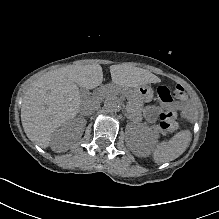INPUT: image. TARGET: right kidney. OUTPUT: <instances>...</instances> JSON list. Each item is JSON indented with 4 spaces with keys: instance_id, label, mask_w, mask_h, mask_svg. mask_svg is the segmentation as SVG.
I'll return each instance as SVG.
<instances>
[{
    "instance_id": "obj_1",
    "label": "right kidney",
    "mask_w": 219,
    "mask_h": 219,
    "mask_svg": "<svg viewBox=\"0 0 219 219\" xmlns=\"http://www.w3.org/2000/svg\"><path fill=\"white\" fill-rule=\"evenodd\" d=\"M70 126L75 127L76 130L75 131H71L70 130ZM80 130L79 126L76 125V123L71 124L70 123H66L64 126H62L61 128L55 130V132L52 134L51 138H50V148L53 152H65L68 150V145L65 142V136L71 135V136H76V137H80V135H75V132H78Z\"/></svg>"
}]
</instances>
